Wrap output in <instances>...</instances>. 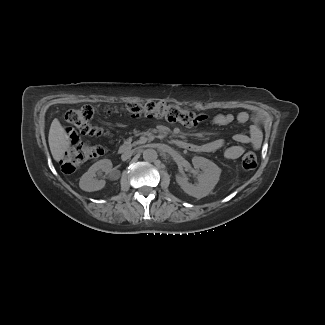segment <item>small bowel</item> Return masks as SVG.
<instances>
[{"instance_id": "small-bowel-1", "label": "small bowel", "mask_w": 325, "mask_h": 325, "mask_svg": "<svg viewBox=\"0 0 325 325\" xmlns=\"http://www.w3.org/2000/svg\"><path fill=\"white\" fill-rule=\"evenodd\" d=\"M249 119V115L247 112L242 111L237 114L233 113H220L216 114L214 116H211L209 118V123L213 126L217 127H224L229 126L234 123H246ZM64 134L67 136V147L68 148H76L82 143V132L73 129L72 126H65L64 127ZM250 136L244 133H239L236 135V141L238 144L231 146L225 150V156L229 159H237L239 158L243 152L244 147L243 144L249 142ZM225 142L222 139H215L212 141H209L208 143L198 145L195 148L197 150L203 151V152H214L217 150H220L223 148Z\"/></svg>"}]
</instances>
